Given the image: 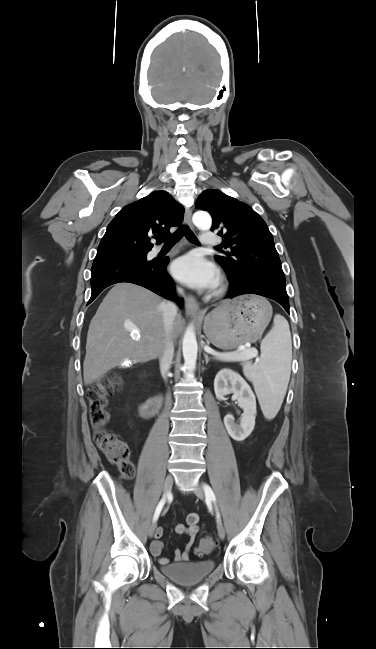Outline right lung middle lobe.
I'll return each instance as SVG.
<instances>
[{"instance_id": "right-lung-middle-lobe-1", "label": "right lung middle lobe", "mask_w": 376, "mask_h": 649, "mask_svg": "<svg viewBox=\"0 0 376 649\" xmlns=\"http://www.w3.org/2000/svg\"><path fill=\"white\" fill-rule=\"evenodd\" d=\"M147 251L145 252H120V253H111V254H102L96 255L94 262H101L109 259H127V260H139L146 259Z\"/></svg>"}]
</instances>
